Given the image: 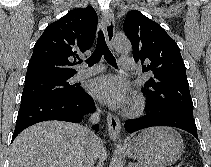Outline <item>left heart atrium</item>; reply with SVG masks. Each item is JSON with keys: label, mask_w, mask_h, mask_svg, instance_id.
Instances as JSON below:
<instances>
[{"label": "left heart atrium", "mask_w": 211, "mask_h": 167, "mask_svg": "<svg viewBox=\"0 0 211 167\" xmlns=\"http://www.w3.org/2000/svg\"><path fill=\"white\" fill-rule=\"evenodd\" d=\"M88 89L93 96L115 107H123L128 102L126 85L115 77L94 79Z\"/></svg>", "instance_id": "1"}]
</instances>
